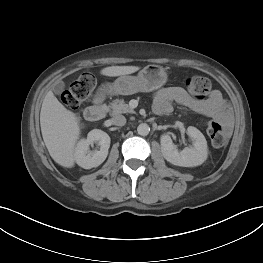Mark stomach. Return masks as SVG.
Instances as JSON below:
<instances>
[{
    "label": "stomach",
    "instance_id": "0dacf381",
    "mask_svg": "<svg viewBox=\"0 0 263 263\" xmlns=\"http://www.w3.org/2000/svg\"><path fill=\"white\" fill-rule=\"evenodd\" d=\"M167 81L165 69L150 64L144 67L137 76L122 75L113 83H105L99 93L102 95H131L137 92H151L162 87Z\"/></svg>",
    "mask_w": 263,
    "mask_h": 263
}]
</instances>
